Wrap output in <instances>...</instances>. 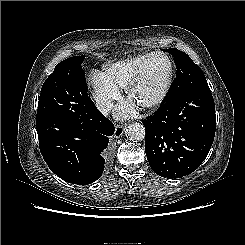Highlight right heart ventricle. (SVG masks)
<instances>
[{
    "label": "right heart ventricle",
    "instance_id": "1",
    "mask_svg": "<svg viewBox=\"0 0 245 245\" xmlns=\"http://www.w3.org/2000/svg\"><path fill=\"white\" fill-rule=\"evenodd\" d=\"M149 54H139L107 65L104 76L114 87L125 89Z\"/></svg>",
    "mask_w": 245,
    "mask_h": 245
}]
</instances>
